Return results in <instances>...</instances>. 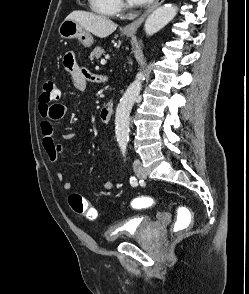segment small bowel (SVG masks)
I'll return each instance as SVG.
<instances>
[{
  "instance_id": "obj_1",
  "label": "small bowel",
  "mask_w": 249,
  "mask_h": 294,
  "mask_svg": "<svg viewBox=\"0 0 249 294\" xmlns=\"http://www.w3.org/2000/svg\"><path fill=\"white\" fill-rule=\"evenodd\" d=\"M64 69L69 74L72 85L77 90H84L86 83L99 80V77L90 73L85 67L77 64L73 52H68L64 58ZM67 113V107L63 103H40L39 115L40 130L43 137V148L46 152L47 158L51 162H57L60 154L63 152V146L56 142L55 138V124L62 120ZM78 133L62 134L61 138L70 140L75 138ZM55 178L61 184V188L68 191L72 187V182L65 179L64 173L61 170L55 171ZM106 191H111L115 188L113 181H106L103 184Z\"/></svg>"
}]
</instances>
